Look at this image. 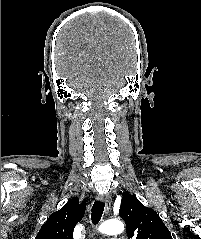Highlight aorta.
<instances>
[{
	"label": "aorta",
	"mask_w": 201,
	"mask_h": 239,
	"mask_svg": "<svg viewBox=\"0 0 201 239\" xmlns=\"http://www.w3.org/2000/svg\"><path fill=\"white\" fill-rule=\"evenodd\" d=\"M98 231L105 235H118L124 231V224L118 219H112L103 222Z\"/></svg>",
	"instance_id": "762f6f07"
}]
</instances>
